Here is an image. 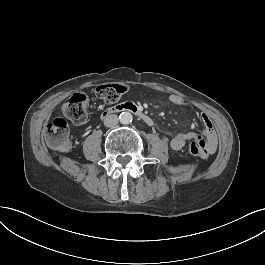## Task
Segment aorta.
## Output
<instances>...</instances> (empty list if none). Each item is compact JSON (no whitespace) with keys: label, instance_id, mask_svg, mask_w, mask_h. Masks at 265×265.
I'll return each mask as SVG.
<instances>
[{"label":"aorta","instance_id":"762f6f07","mask_svg":"<svg viewBox=\"0 0 265 265\" xmlns=\"http://www.w3.org/2000/svg\"><path fill=\"white\" fill-rule=\"evenodd\" d=\"M119 119L122 124H130L133 120V115L130 112H122Z\"/></svg>","mask_w":265,"mask_h":265}]
</instances>
